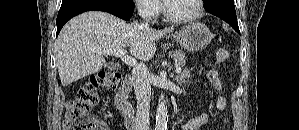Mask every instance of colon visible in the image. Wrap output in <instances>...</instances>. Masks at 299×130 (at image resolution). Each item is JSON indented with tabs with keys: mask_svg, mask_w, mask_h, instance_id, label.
<instances>
[{
	"mask_svg": "<svg viewBox=\"0 0 299 130\" xmlns=\"http://www.w3.org/2000/svg\"><path fill=\"white\" fill-rule=\"evenodd\" d=\"M228 58L229 52L226 49L217 50V63H224ZM210 76L215 80V71H211ZM120 80V74L115 71H100L91 75L78 90L75 98L66 104L64 130H107L104 124L90 115V111L99 101L98 90L100 88L114 89Z\"/></svg>",
	"mask_w": 299,
	"mask_h": 130,
	"instance_id": "obj_1",
	"label": "colon"
}]
</instances>
